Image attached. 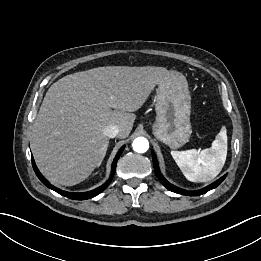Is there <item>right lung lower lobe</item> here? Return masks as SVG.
Masks as SVG:
<instances>
[{
  "instance_id": "1",
  "label": "right lung lower lobe",
  "mask_w": 261,
  "mask_h": 261,
  "mask_svg": "<svg viewBox=\"0 0 261 261\" xmlns=\"http://www.w3.org/2000/svg\"><path fill=\"white\" fill-rule=\"evenodd\" d=\"M124 150V146L119 150V152L117 153L116 157L114 158V161H113V164H112V171H111V175H110V178L109 180L104 183L102 186L92 190V191H89V192H84V193H71V192H66V191H63L59 188H56L55 186L51 185L45 178L44 176L39 172L36 164H35V161L32 157V166H33V169L37 175V177L40 179V181L46 185L48 188L54 190L55 192L65 196V197H68L70 199H74V200H85V199H89V198H92L96 195H98L99 193H101L102 191H104L107 186L110 184L112 178H113V175L115 173V169H116V164H117V161L121 155V153L123 152Z\"/></svg>"
}]
</instances>
